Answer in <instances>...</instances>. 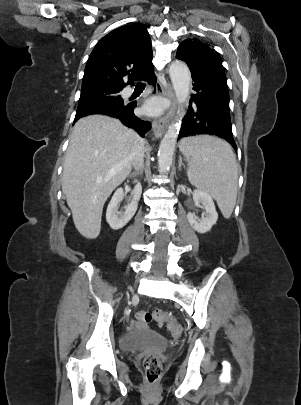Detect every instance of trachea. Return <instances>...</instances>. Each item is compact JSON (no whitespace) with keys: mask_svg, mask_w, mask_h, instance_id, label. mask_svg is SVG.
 Listing matches in <instances>:
<instances>
[{"mask_svg":"<svg viewBox=\"0 0 301 405\" xmlns=\"http://www.w3.org/2000/svg\"><path fill=\"white\" fill-rule=\"evenodd\" d=\"M137 86H145V84H144V83H141V82H138V83H137Z\"/></svg>","mask_w":301,"mask_h":405,"instance_id":"1","label":"trachea"}]
</instances>
